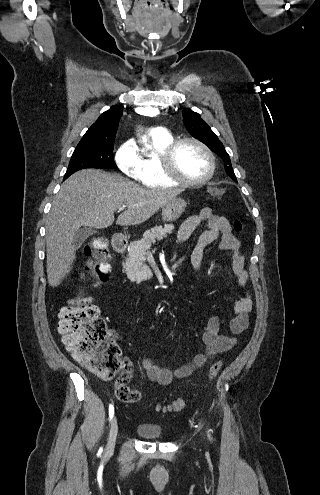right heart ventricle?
Masks as SVG:
<instances>
[{"instance_id": "1", "label": "right heart ventricle", "mask_w": 320, "mask_h": 495, "mask_svg": "<svg viewBox=\"0 0 320 495\" xmlns=\"http://www.w3.org/2000/svg\"><path fill=\"white\" fill-rule=\"evenodd\" d=\"M151 151L145 153L141 159V182L150 188H171L178 183L170 180L163 172L161 165V154L163 150L173 142L171 135L155 136L149 134L147 136Z\"/></svg>"}]
</instances>
